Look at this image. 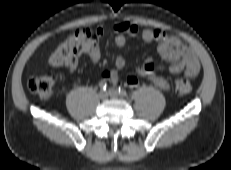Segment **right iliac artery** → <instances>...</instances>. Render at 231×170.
Listing matches in <instances>:
<instances>
[{
  "mask_svg": "<svg viewBox=\"0 0 231 170\" xmlns=\"http://www.w3.org/2000/svg\"><path fill=\"white\" fill-rule=\"evenodd\" d=\"M99 86H100V88L102 89V90H106L107 89V83H106V81H101L100 83H99Z\"/></svg>",
  "mask_w": 231,
  "mask_h": 170,
  "instance_id": "82829eb1",
  "label": "right iliac artery"
}]
</instances>
